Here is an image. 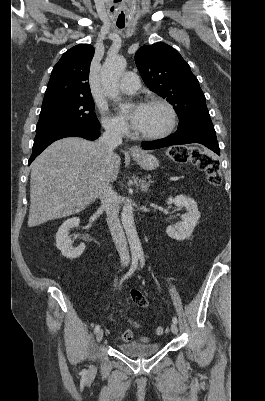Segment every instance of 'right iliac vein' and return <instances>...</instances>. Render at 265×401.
Returning a JSON list of instances; mask_svg holds the SVG:
<instances>
[{"label":"right iliac vein","mask_w":265,"mask_h":401,"mask_svg":"<svg viewBox=\"0 0 265 401\" xmlns=\"http://www.w3.org/2000/svg\"><path fill=\"white\" fill-rule=\"evenodd\" d=\"M102 338H103V330H102V329H99V330L97 331V333H96V341H97V342H100V341L102 340ZM94 367H95V365H92V366L89 368L88 372L93 371V370H94Z\"/></svg>","instance_id":"63e3f726"}]
</instances>
